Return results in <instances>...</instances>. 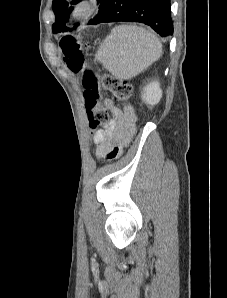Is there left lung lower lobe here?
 <instances>
[{
    "label": "left lung lower lobe",
    "instance_id": "0a47b994",
    "mask_svg": "<svg viewBox=\"0 0 227 298\" xmlns=\"http://www.w3.org/2000/svg\"><path fill=\"white\" fill-rule=\"evenodd\" d=\"M170 0H108L99 23L141 22L161 36L173 34Z\"/></svg>",
    "mask_w": 227,
    "mask_h": 298
}]
</instances>
